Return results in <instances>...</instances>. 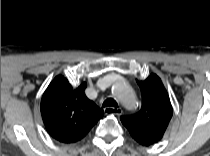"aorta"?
<instances>
[{
    "label": "aorta",
    "instance_id": "762f6f07",
    "mask_svg": "<svg viewBox=\"0 0 210 156\" xmlns=\"http://www.w3.org/2000/svg\"><path fill=\"white\" fill-rule=\"evenodd\" d=\"M114 96L126 107L136 106V95L129 84L124 81L116 82L112 87Z\"/></svg>",
    "mask_w": 210,
    "mask_h": 156
}]
</instances>
